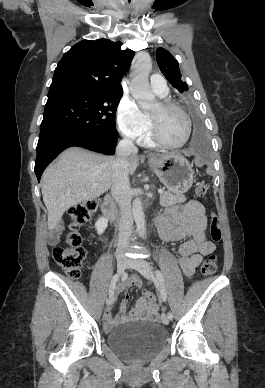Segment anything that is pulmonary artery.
Wrapping results in <instances>:
<instances>
[{"label": "pulmonary artery", "mask_w": 265, "mask_h": 388, "mask_svg": "<svg viewBox=\"0 0 265 388\" xmlns=\"http://www.w3.org/2000/svg\"><path fill=\"white\" fill-rule=\"evenodd\" d=\"M150 81L153 82V88L155 90H169V83H166L162 75H151Z\"/></svg>", "instance_id": "obj_1"}]
</instances>
